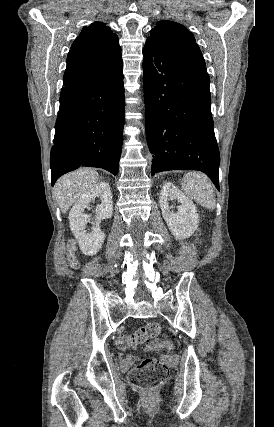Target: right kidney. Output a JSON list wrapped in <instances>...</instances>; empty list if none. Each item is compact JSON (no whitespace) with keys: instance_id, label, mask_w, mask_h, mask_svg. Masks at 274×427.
<instances>
[{"instance_id":"1","label":"right kidney","mask_w":274,"mask_h":427,"mask_svg":"<svg viewBox=\"0 0 274 427\" xmlns=\"http://www.w3.org/2000/svg\"><path fill=\"white\" fill-rule=\"evenodd\" d=\"M95 198H100L101 204L96 208L97 215H95L94 227L90 233H87L86 223L90 221V215L84 214V208H88L90 202ZM112 214L111 188L106 182H98V184L89 186V190L81 194L78 202L71 208L69 214L70 227L85 255H95L99 251L105 239V233L100 229L101 219L111 217Z\"/></svg>"}]
</instances>
